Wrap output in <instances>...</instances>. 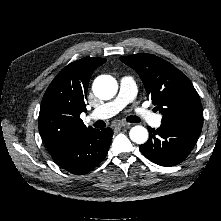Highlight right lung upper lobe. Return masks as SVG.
Listing matches in <instances>:
<instances>
[{
  "instance_id": "right-lung-upper-lobe-1",
  "label": "right lung upper lobe",
  "mask_w": 221,
  "mask_h": 221,
  "mask_svg": "<svg viewBox=\"0 0 221 221\" xmlns=\"http://www.w3.org/2000/svg\"><path fill=\"white\" fill-rule=\"evenodd\" d=\"M106 59L83 58L62 69L47 88L39 112V132L53 157L93 130L80 114L86 112V96L93 71Z\"/></svg>"
}]
</instances>
